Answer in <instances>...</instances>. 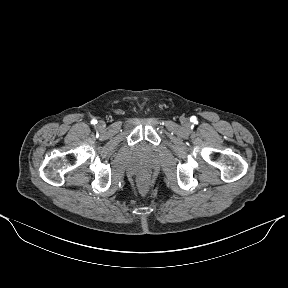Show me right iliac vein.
Listing matches in <instances>:
<instances>
[{"label": "right iliac vein", "instance_id": "1", "mask_svg": "<svg viewBox=\"0 0 288 288\" xmlns=\"http://www.w3.org/2000/svg\"><path fill=\"white\" fill-rule=\"evenodd\" d=\"M105 126V123L103 121H99L98 124H97V128L98 129H103Z\"/></svg>", "mask_w": 288, "mask_h": 288}]
</instances>
